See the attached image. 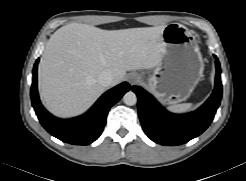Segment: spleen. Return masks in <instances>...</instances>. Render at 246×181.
Wrapping results in <instances>:
<instances>
[{
  "instance_id": "3e777b00",
  "label": "spleen",
  "mask_w": 246,
  "mask_h": 181,
  "mask_svg": "<svg viewBox=\"0 0 246 181\" xmlns=\"http://www.w3.org/2000/svg\"><path fill=\"white\" fill-rule=\"evenodd\" d=\"M193 107L192 103H182V104H176L168 107V109L175 113H184L189 111Z\"/></svg>"
}]
</instances>
